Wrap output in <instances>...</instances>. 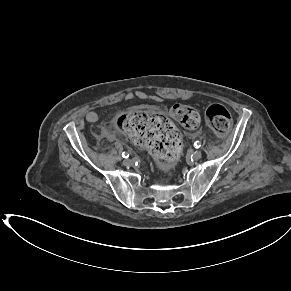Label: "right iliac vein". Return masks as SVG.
<instances>
[{
  "label": "right iliac vein",
  "mask_w": 291,
  "mask_h": 291,
  "mask_svg": "<svg viewBox=\"0 0 291 291\" xmlns=\"http://www.w3.org/2000/svg\"><path fill=\"white\" fill-rule=\"evenodd\" d=\"M123 164H124L125 166H132V165H133V162H132V160H130V159H125V160L123 161Z\"/></svg>",
  "instance_id": "1"
}]
</instances>
